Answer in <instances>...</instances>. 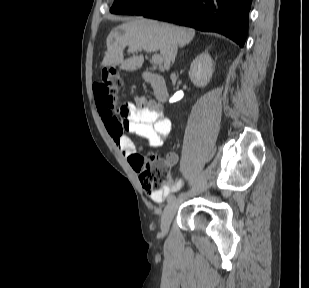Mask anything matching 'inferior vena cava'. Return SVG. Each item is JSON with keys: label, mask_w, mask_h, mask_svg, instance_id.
Masks as SVG:
<instances>
[{"label": "inferior vena cava", "mask_w": 309, "mask_h": 288, "mask_svg": "<svg viewBox=\"0 0 309 288\" xmlns=\"http://www.w3.org/2000/svg\"><path fill=\"white\" fill-rule=\"evenodd\" d=\"M176 54H177V46L174 47V49L172 50V54H171V62H172V63H173L174 60H175Z\"/></svg>", "instance_id": "inferior-vena-cava-1"}]
</instances>
